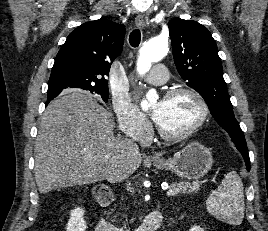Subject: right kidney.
<instances>
[{"mask_svg":"<svg viewBox=\"0 0 268 231\" xmlns=\"http://www.w3.org/2000/svg\"><path fill=\"white\" fill-rule=\"evenodd\" d=\"M84 209L75 208L70 212V219L67 223L66 231H85L87 228L84 220Z\"/></svg>","mask_w":268,"mask_h":231,"instance_id":"right-kidney-1","label":"right kidney"}]
</instances>
